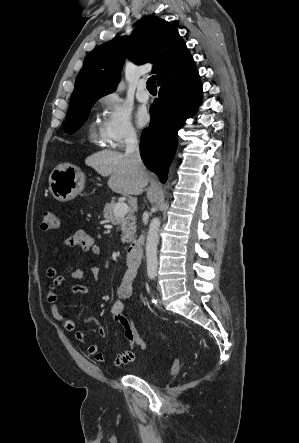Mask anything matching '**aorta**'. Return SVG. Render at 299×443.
<instances>
[{"label": "aorta", "mask_w": 299, "mask_h": 443, "mask_svg": "<svg viewBox=\"0 0 299 443\" xmlns=\"http://www.w3.org/2000/svg\"><path fill=\"white\" fill-rule=\"evenodd\" d=\"M124 89V84L121 82L118 85L117 90L122 91ZM159 228H160V220L158 217H154L149 225V230L146 238V263H147V272L148 273H156L158 266L157 259V246L159 239Z\"/></svg>", "instance_id": "obj_1"}]
</instances>
